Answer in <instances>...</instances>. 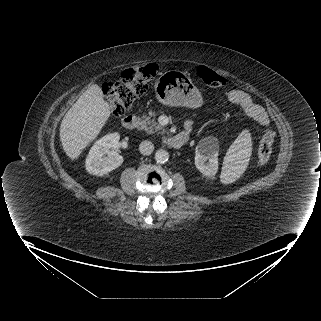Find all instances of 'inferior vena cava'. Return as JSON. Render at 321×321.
Returning <instances> with one entry per match:
<instances>
[{
    "instance_id": "1",
    "label": "inferior vena cava",
    "mask_w": 321,
    "mask_h": 321,
    "mask_svg": "<svg viewBox=\"0 0 321 321\" xmlns=\"http://www.w3.org/2000/svg\"><path fill=\"white\" fill-rule=\"evenodd\" d=\"M154 150V145L150 141H142L139 145V151L143 155H150Z\"/></svg>"
}]
</instances>
